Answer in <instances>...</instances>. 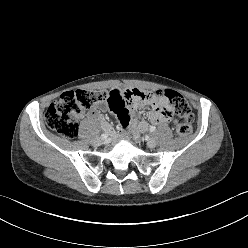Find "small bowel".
I'll return each mask as SVG.
<instances>
[{
    "mask_svg": "<svg viewBox=\"0 0 248 248\" xmlns=\"http://www.w3.org/2000/svg\"><path fill=\"white\" fill-rule=\"evenodd\" d=\"M106 94L108 95V102L93 109L89 114L92 117H97L100 120L103 129L109 134L113 133L111 124L99 115V111L106 108H109L111 112L117 115L122 130L127 129L130 126L131 114L142 104L151 107L152 123H176L172 113L169 111V102L162 93L152 94L138 88L124 89L122 86H109L106 89ZM148 127L146 121H140L136 126L137 130L141 132L146 131Z\"/></svg>",
    "mask_w": 248,
    "mask_h": 248,
    "instance_id": "c3829d8e",
    "label": "small bowel"
}]
</instances>
